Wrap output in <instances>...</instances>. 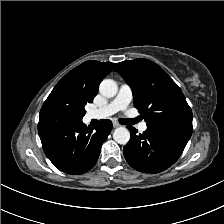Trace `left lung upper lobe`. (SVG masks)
<instances>
[{"mask_svg":"<svg viewBox=\"0 0 224 224\" xmlns=\"http://www.w3.org/2000/svg\"><path fill=\"white\" fill-rule=\"evenodd\" d=\"M117 71L131 87L135 107L147 126L192 129V111L180 87L156 63L147 59L120 62Z\"/></svg>","mask_w":224,"mask_h":224,"instance_id":"left-lung-upper-lobe-1","label":"left lung upper lobe"}]
</instances>
